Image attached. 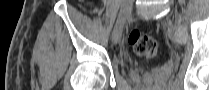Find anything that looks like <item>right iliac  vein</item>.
<instances>
[{
    "label": "right iliac vein",
    "instance_id": "obj_1",
    "mask_svg": "<svg viewBox=\"0 0 209 90\" xmlns=\"http://www.w3.org/2000/svg\"><path fill=\"white\" fill-rule=\"evenodd\" d=\"M131 11H132V1L131 0L124 1L119 16L117 18L115 27L112 32V42L114 44H117L119 42L125 21L127 17L131 14Z\"/></svg>",
    "mask_w": 209,
    "mask_h": 90
}]
</instances>
